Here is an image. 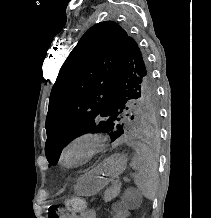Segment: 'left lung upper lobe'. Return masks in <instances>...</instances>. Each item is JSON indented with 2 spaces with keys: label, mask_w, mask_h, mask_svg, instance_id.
<instances>
[{
  "label": "left lung upper lobe",
  "mask_w": 211,
  "mask_h": 218,
  "mask_svg": "<svg viewBox=\"0 0 211 218\" xmlns=\"http://www.w3.org/2000/svg\"><path fill=\"white\" fill-rule=\"evenodd\" d=\"M157 118L146 57L117 23H97L69 54L52 88L46 157L56 165L64 146L84 133H109L114 141L128 120L150 127Z\"/></svg>",
  "instance_id": "1"
}]
</instances>
